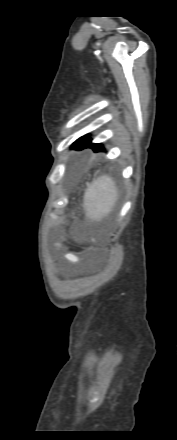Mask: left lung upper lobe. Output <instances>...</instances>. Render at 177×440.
Here are the masks:
<instances>
[{"label": "left lung upper lobe", "instance_id": "obj_1", "mask_svg": "<svg viewBox=\"0 0 177 440\" xmlns=\"http://www.w3.org/2000/svg\"><path fill=\"white\" fill-rule=\"evenodd\" d=\"M85 137H86V136H83V137L79 138V139L74 143L73 148L75 147L76 143H78L80 140H82V139L85 138Z\"/></svg>", "mask_w": 177, "mask_h": 440}]
</instances>
